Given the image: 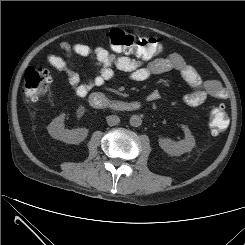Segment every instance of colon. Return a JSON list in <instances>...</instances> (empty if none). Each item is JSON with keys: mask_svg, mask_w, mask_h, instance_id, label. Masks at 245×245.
I'll return each instance as SVG.
<instances>
[{"mask_svg": "<svg viewBox=\"0 0 245 245\" xmlns=\"http://www.w3.org/2000/svg\"><path fill=\"white\" fill-rule=\"evenodd\" d=\"M110 46L118 52L134 54L150 61L156 58L161 45L152 37L137 36L127 31L113 29L107 34ZM50 72L45 68L30 66L24 73V92L28 100L37 101L49 88ZM228 124V116L223 105H215L209 113V127L213 135L223 132Z\"/></svg>", "mask_w": 245, "mask_h": 245, "instance_id": "5ec220e1", "label": "colon"}]
</instances>
